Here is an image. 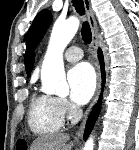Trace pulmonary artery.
<instances>
[{
	"label": "pulmonary artery",
	"instance_id": "obj_1",
	"mask_svg": "<svg viewBox=\"0 0 139 150\" xmlns=\"http://www.w3.org/2000/svg\"><path fill=\"white\" fill-rule=\"evenodd\" d=\"M64 57L69 62H76L83 57V51L80 47L72 46L66 50Z\"/></svg>",
	"mask_w": 139,
	"mask_h": 150
}]
</instances>
